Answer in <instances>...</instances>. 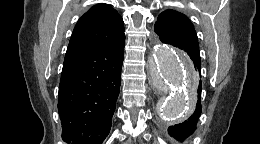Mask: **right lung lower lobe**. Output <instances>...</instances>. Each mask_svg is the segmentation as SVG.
<instances>
[{
  "instance_id": "right-lung-lower-lobe-1",
  "label": "right lung lower lobe",
  "mask_w": 260,
  "mask_h": 144,
  "mask_svg": "<svg viewBox=\"0 0 260 144\" xmlns=\"http://www.w3.org/2000/svg\"><path fill=\"white\" fill-rule=\"evenodd\" d=\"M125 39L66 54L59 85L62 138L102 144L119 96Z\"/></svg>"
}]
</instances>
